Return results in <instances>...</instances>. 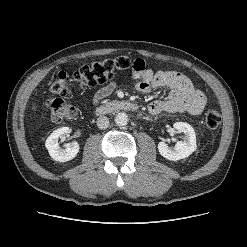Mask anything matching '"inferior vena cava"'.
Listing matches in <instances>:
<instances>
[{
	"instance_id": "obj_1",
	"label": "inferior vena cava",
	"mask_w": 247,
	"mask_h": 247,
	"mask_svg": "<svg viewBox=\"0 0 247 247\" xmlns=\"http://www.w3.org/2000/svg\"><path fill=\"white\" fill-rule=\"evenodd\" d=\"M97 126L99 129H106L109 126V119L105 116L97 118Z\"/></svg>"
}]
</instances>
